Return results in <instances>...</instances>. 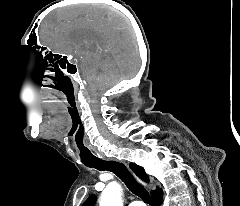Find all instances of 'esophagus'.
<instances>
[{
    "mask_svg": "<svg viewBox=\"0 0 240 206\" xmlns=\"http://www.w3.org/2000/svg\"><path fill=\"white\" fill-rule=\"evenodd\" d=\"M105 160H113L114 158H106L104 157ZM136 179L138 180L139 183H141L142 185L146 186V183L144 181H142L140 178L136 177Z\"/></svg>",
    "mask_w": 240,
    "mask_h": 206,
    "instance_id": "34e87169",
    "label": "esophagus"
}]
</instances>
